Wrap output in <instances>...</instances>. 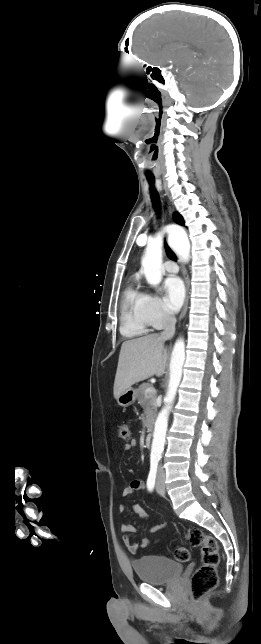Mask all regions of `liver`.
I'll list each match as a JSON object with an SVG mask.
<instances>
[{"label": "liver", "mask_w": 261, "mask_h": 644, "mask_svg": "<svg viewBox=\"0 0 261 644\" xmlns=\"http://www.w3.org/2000/svg\"><path fill=\"white\" fill-rule=\"evenodd\" d=\"M164 342L161 335L151 334L122 344L113 388L115 399L133 384L164 374L167 361Z\"/></svg>", "instance_id": "6515ba94"}]
</instances>
